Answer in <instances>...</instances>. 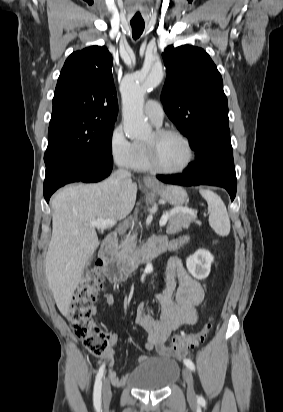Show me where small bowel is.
<instances>
[{
    "label": "small bowel",
    "instance_id": "obj_1",
    "mask_svg": "<svg viewBox=\"0 0 283 412\" xmlns=\"http://www.w3.org/2000/svg\"><path fill=\"white\" fill-rule=\"evenodd\" d=\"M162 240L172 246V249L188 242L187 237L170 243ZM101 297L105 305H111L115 301L114 296L108 292H102ZM203 299L204 290L201 284L188 273L180 258L172 257L167 264L162 287L156 299L159 306L158 318H154L147 312L146 303H140L136 309V323L148 335L145 348L148 351H155L157 355L162 357L182 358L184 352L169 349L166 340L174 330L196 322L197 307ZM100 311L99 306L92 308L93 314H99ZM117 342V335L112 334L110 347L106 350L104 357L109 361V375L113 383L122 386L126 383V377L116 375L113 370L114 346ZM146 360H148V356L142 355L137 361L143 363Z\"/></svg>",
    "mask_w": 283,
    "mask_h": 412
}]
</instances>
